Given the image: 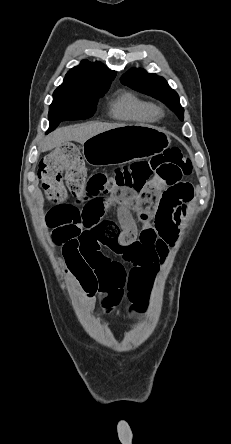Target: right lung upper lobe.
<instances>
[{"label":"right lung upper lobe","instance_id":"obj_1","mask_svg":"<svg viewBox=\"0 0 231 444\" xmlns=\"http://www.w3.org/2000/svg\"><path fill=\"white\" fill-rule=\"evenodd\" d=\"M116 72L109 70L101 62L91 63L83 60L79 66L72 68L65 76L63 83L56 90L77 92H94L108 89Z\"/></svg>","mask_w":231,"mask_h":444}]
</instances>
